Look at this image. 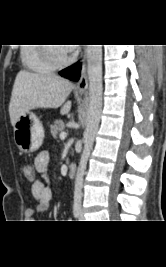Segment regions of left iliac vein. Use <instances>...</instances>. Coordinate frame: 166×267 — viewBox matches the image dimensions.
<instances>
[{"label": "left iliac vein", "instance_id": "obj_1", "mask_svg": "<svg viewBox=\"0 0 166 267\" xmlns=\"http://www.w3.org/2000/svg\"><path fill=\"white\" fill-rule=\"evenodd\" d=\"M79 219H80L81 221L84 220V211H83L82 208H80Z\"/></svg>", "mask_w": 166, "mask_h": 267}]
</instances>
